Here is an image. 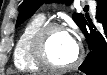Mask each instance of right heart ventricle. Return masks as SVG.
Wrapping results in <instances>:
<instances>
[{"mask_svg":"<svg viewBox=\"0 0 107 75\" xmlns=\"http://www.w3.org/2000/svg\"><path fill=\"white\" fill-rule=\"evenodd\" d=\"M45 24V18L38 14L32 17L22 29L14 49V65L20 71L36 72L43 69L31 55L30 41L34 33Z\"/></svg>","mask_w":107,"mask_h":75,"instance_id":"obj_1","label":"right heart ventricle"}]
</instances>
